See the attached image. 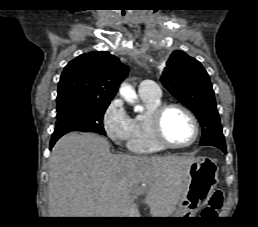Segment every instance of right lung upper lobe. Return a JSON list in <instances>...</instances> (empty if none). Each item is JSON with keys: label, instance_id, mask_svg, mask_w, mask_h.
I'll return each mask as SVG.
<instances>
[{"label": "right lung upper lobe", "instance_id": "cb5924a9", "mask_svg": "<svg viewBox=\"0 0 258 227\" xmlns=\"http://www.w3.org/2000/svg\"><path fill=\"white\" fill-rule=\"evenodd\" d=\"M128 71L126 65L107 51L82 54L64 68L57 98L76 96L110 102Z\"/></svg>", "mask_w": 258, "mask_h": 227}]
</instances>
